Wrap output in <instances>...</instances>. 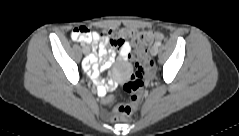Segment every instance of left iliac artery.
I'll return each instance as SVG.
<instances>
[{
  "instance_id": "left-iliac-artery-1",
  "label": "left iliac artery",
  "mask_w": 239,
  "mask_h": 136,
  "mask_svg": "<svg viewBox=\"0 0 239 136\" xmlns=\"http://www.w3.org/2000/svg\"><path fill=\"white\" fill-rule=\"evenodd\" d=\"M155 45L158 47V46H160V45H161V42H160V41H158V42H156V43H155Z\"/></svg>"
}]
</instances>
